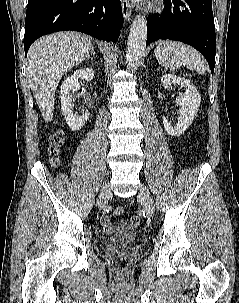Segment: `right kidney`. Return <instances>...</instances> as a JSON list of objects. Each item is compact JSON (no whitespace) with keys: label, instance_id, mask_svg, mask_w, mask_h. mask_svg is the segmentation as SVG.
<instances>
[{"label":"right kidney","instance_id":"1","mask_svg":"<svg viewBox=\"0 0 239 303\" xmlns=\"http://www.w3.org/2000/svg\"><path fill=\"white\" fill-rule=\"evenodd\" d=\"M79 78L86 81H92L94 78V70L91 68L76 70L73 75L67 77L61 85V109L65 116V120L72 131L80 130L89 118L88 111L80 116L74 114L72 111L73 99L71 92L78 91L80 89V83L78 81Z\"/></svg>","mask_w":239,"mask_h":303}]
</instances>
